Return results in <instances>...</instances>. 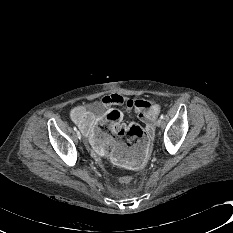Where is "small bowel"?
I'll return each instance as SVG.
<instances>
[{"mask_svg":"<svg viewBox=\"0 0 233 233\" xmlns=\"http://www.w3.org/2000/svg\"><path fill=\"white\" fill-rule=\"evenodd\" d=\"M113 106L135 110L138 119L145 124L148 132L151 131L152 123L160 112V106L148 99H132L113 93L103 96L89 111L79 113L75 119L96 154L106 156L111 164L138 170L147 157L150 141L145 136H138L133 142L126 143L113 138L106 131H101V128L109 126L114 134H118L119 128L126 126L122 122V113ZM102 108H107L106 114L100 112Z\"/></svg>","mask_w":233,"mask_h":233,"instance_id":"obj_1","label":"small bowel"}]
</instances>
